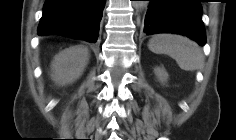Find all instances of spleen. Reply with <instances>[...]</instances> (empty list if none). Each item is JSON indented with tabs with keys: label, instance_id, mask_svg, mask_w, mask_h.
I'll list each match as a JSON object with an SVG mask.
<instances>
[{
	"label": "spleen",
	"instance_id": "1",
	"mask_svg": "<svg viewBox=\"0 0 236 140\" xmlns=\"http://www.w3.org/2000/svg\"><path fill=\"white\" fill-rule=\"evenodd\" d=\"M148 47L154 53L169 55L185 71H195L204 65L199 45L180 35H155L149 40Z\"/></svg>",
	"mask_w": 236,
	"mask_h": 140
}]
</instances>
